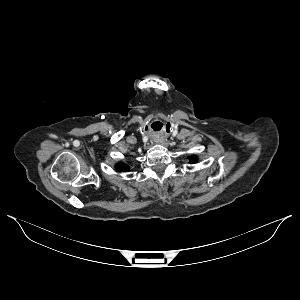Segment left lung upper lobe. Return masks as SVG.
Masks as SVG:
<instances>
[{
    "instance_id": "5c2ea615",
    "label": "left lung upper lobe",
    "mask_w": 300,
    "mask_h": 300,
    "mask_svg": "<svg viewBox=\"0 0 300 300\" xmlns=\"http://www.w3.org/2000/svg\"><path fill=\"white\" fill-rule=\"evenodd\" d=\"M190 162L195 163L196 162V156H191L190 157Z\"/></svg>"
}]
</instances>
